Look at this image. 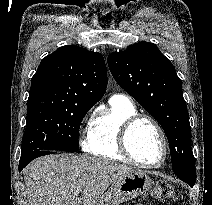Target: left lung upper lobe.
I'll return each mask as SVG.
<instances>
[{
  "instance_id": "left-lung-upper-lobe-1",
  "label": "left lung upper lobe",
  "mask_w": 212,
  "mask_h": 205,
  "mask_svg": "<svg viewBox=\"0 0 212 205\" xmlns=\"http://www.w3.org/2000/svg\"><path fill=\"white\" fill-rule=\"evenodd\" d=\"M107 61L116 82L164 129L174 173L195 178L189 115L182 83L171 61L149 42L113 52Z\"/></svg>"
}]
</instances>
